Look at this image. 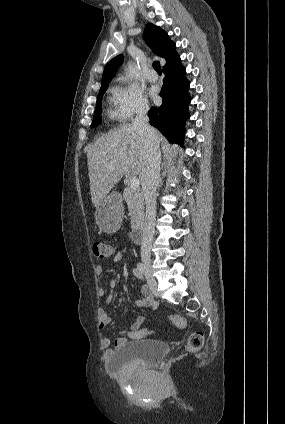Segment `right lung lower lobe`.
<instances>
[{"mask_svg": "<svg viewBox=\"0 0 285 424\" xmlns=\"http://www.w3.org/2000/svg\"><path fill=\"white\" fill-rule=\"evenodd\" d=\"M181 60L165 67L163 86L160 92L162 105L148 112L150 124L156 127L170 142L184 141L185 121L189 117V82Z\"/></svg>", "mask_w": 285, "mask_h": 424, "instance_id": "1", "label": "right lung lower lobe"}]
</instances>
